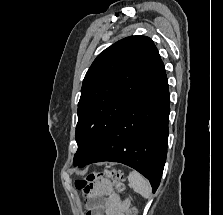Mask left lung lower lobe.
I'll return each instance as SVG.
<instances>
[{
	"label": "left lung lower lobe",
	"instance_id": "1",
	"mask_svg": "<svg viewBox=\"0 0 223 215\" xmlns=\"http://www.w3.org/2000/svg\"><path fill=\"white\" fill-rule=\"evenodd\" d=\"M169 112L170 94L163 65L85 165L102 161L128 165L150 181L155 193L166 161Z\"/></svg>",
	"mask_w": 223,
	"mask_h": 215
}]
</instances>
